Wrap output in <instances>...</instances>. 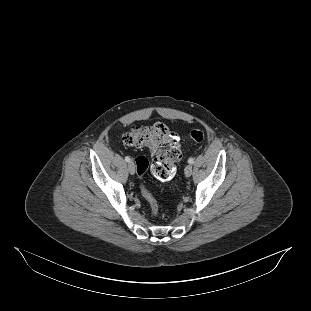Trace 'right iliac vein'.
Instances as JSON below:
<instances>
[{
    "label": "right iliac vein",
    "instance_id": "1",
    "mask_svg": "<svg viewBox=\"0 0 311 311\" xmlns=\"http://www.w3.org/2000/svg\"><path fill=\"white\" fill-rule=\"evenodd\" d=\"M128 170H129L130 174H134L135 173V164L132 161H130L128 163Z\"/></svg>",
    "mask_w": 311,
    "mask_h": 311
}]
</instances>
